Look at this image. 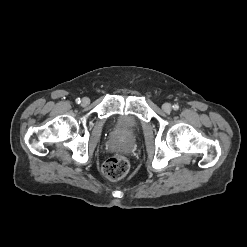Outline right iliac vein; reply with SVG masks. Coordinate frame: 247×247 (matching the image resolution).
Masks as SVG:
<instances>
[{"label": "right iliac vein", "mask_w": 247, "mask_h": 247, "mask_svg": "<svg viewBox=\"0 0 247 247\" xmlns=\"http://www.w3.org/2000/svg\"><path fill=\"white\" fill-rule=\"evenodd\" d=\"M89 103H90V99L87 98V97H84V98L82 99V101H81V104H82L83 106H87Z\"/></svg>", "instance_id": "obj_1"}]
</instances>
